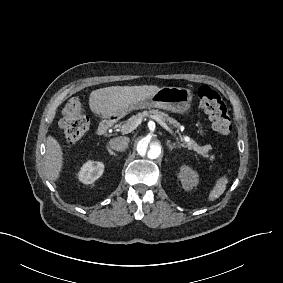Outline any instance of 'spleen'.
Segmentation results:
<instances>
[{"instance_id":"1","label":"spleen","mask_w":283,"mask_h":283,"mask_svg":"<svg viewBox=\"0 0 283 283\" xmlns=\"http://www.w3.org/2000/svg\"><path fill=\"white\" fill-rule=\"evenodd\" d=\"M228 183H229L228 174H224L220 176L218 179H216L212 188L208 193L207 202L211 203L216 201L218 198H220L226 191Z\"/></svg>"}]
</instances>
